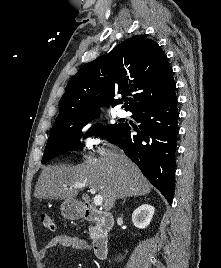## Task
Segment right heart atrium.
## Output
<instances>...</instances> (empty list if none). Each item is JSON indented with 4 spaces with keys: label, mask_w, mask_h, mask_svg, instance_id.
I'll return each instance as SVG.
<instances>
[{
    "label": "right heart atrium",
    "mask_w": 221,
    "mask_h": 268,
    "mask_svg": "<svg viewBox=\"0 0 221 268\" xmlns=\"http://www.w3.org/2000/svg\"><path fill=\"white\" fill-rule=\"evenodd\" d=\"M83 148L86 153H94L105 141V128L101 122L92 120L82 127Z\"/></svg>",
    "instance_id": "d8ad5b80"
}]
</instances>
